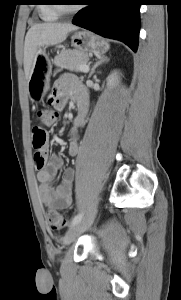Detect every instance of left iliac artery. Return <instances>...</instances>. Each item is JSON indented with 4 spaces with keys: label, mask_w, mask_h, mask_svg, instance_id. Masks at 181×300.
<instances>
[{
    "label": "left iliac artery",
    "mask_w": 181,
    "mask_h": 300,
    "mask_svg": "<svg viewBox=\"0 0 181 300\" xmlns=\"http://www.w3.org/2000/svg\"><path fill=\"white\" fill-rule=\"evenodd\" d=\"M83 217V212L77 214L73 219H72V222H71V225H74L76 224L77 222H79Z\"/></svg>",
    "instance_id": "obj_1"
}]
</instances>
